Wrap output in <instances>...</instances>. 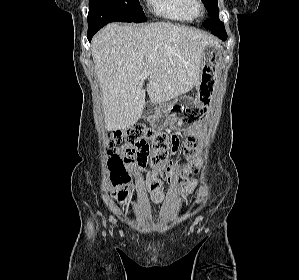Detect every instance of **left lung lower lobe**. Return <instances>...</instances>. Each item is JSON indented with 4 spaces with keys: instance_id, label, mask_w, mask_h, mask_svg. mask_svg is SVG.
<instances>
[{
    "instance_id": "obj_1",
    "label": "left lung lower lobe",
    "mask_w": 299,
    "mask_h": 280,
    "mask_svg": "<svg viewBox=\"0 0 299 280\" xmlns=\"http://www.w3.org/2000/svg\"><path fill=\"white\" fill-rule=\"evenodd\" d=\"M212 34L216 35L223 41H225L227 39V33L225 30H215V31H212Z\"/></svg>"
}]
</instances>
